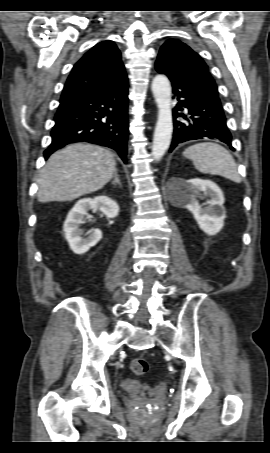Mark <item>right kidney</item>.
<instances>
[{
  "instance_id": "ca27d5eb",
  "label": "right kidney",
  "mask_w": 270,
  "mask_h": 453,
  "mask_svg": "<svg viewBox=\"0 0 270 453\" xmlns=\"http://www.w3.org/2000/svg\"><path fill=\"white\" fill-rule=\"evenodd\" d=\"M91 209H99L107 218H115L119 213L118 204L107 196L79 200L69 211L63 225L65 238L70 249L76 254H84L102 238V232L99 229L93 230L86 238L82 237L83 230L80 229V225L84 223L85 216Z\"/></svg>"
}]
</instances>
